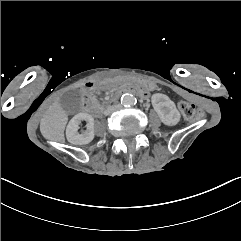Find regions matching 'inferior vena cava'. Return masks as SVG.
<instances>
[{"label":"inferior vena cava","instance_id":"602c4592","mask_svg":"<svg viewBox=\"0 0 241 241\" xmlns=\"http://www.w3.org/2000/svg\"><path fill=\"white\" fill-rule=\"evenodd\" d=\"M117 110V107L116 106H110L108 107L105 111H104V115L105 116H108L110 115L111 113H113L114 111Z\"/></svg>","mask_w":241,"mask_h":241}]
</instances>
